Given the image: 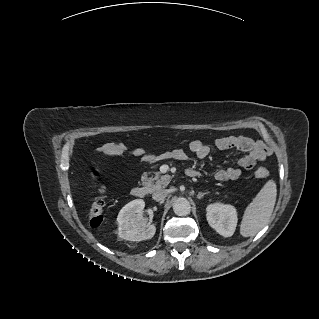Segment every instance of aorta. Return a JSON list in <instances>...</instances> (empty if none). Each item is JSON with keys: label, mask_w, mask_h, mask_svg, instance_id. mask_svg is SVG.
<instances>
[{"label": "aorta", "mask_w": 319, "mask_h": 319, "mask_svg": "<svg viewBox=\"0 0 319 319\" xmlns=\"http://www.w3.org/2000/svg\"><path fill=\"white\" fill-rule=\"evenodd\" d=\"M173 211L178 216H186L191 211L190 202L184 197H178L173 203Z\"/></svg>", "instance_id": "762f6f07"}]
</instances>
